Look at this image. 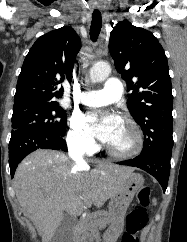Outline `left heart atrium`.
<instances>
[{"instance_id": "39dd6f15", "label": "left heart atrium", "mask_w": 187, "mask_h": 242, "mask_svg": "<svg viewBox=\"0 0 187 242\" xmlns=\"http://www.w3.org/2000/svg\"><path fill=\"white\" fill-rule=\"evenodd\" d=\"M89 120L92 122V133L102 142L109 143L117 127L119 118L113 114L103 115L91 114Z\"/></svg>"}]
</instances>
